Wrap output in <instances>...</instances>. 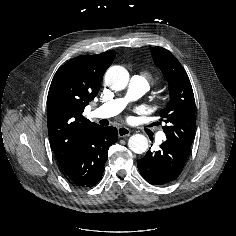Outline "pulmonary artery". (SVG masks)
I'll return each mask as SVG.
<instances>
[{
    "label": "pulmonary artery",
    "instance_id": "1",
    "mask_svg": "<svg viewBox=\"0 0 236 236\" xmlns=\"http://www.w3.org/2000/svg\"><path fill=\"white\" fill-rule=\"evenodd\" d=\"M150 86L149 83L139 75H134L131 77L127 96L125 98H118L111 100L94 110V115L98 118H109L119 114L126 106L129 100L136 99L144 95ZM165 135L160 133L158 135V140H163Z\"/></svg>",
    "mask_w": 236,
    "mask_h": 236
}]
</instances>
